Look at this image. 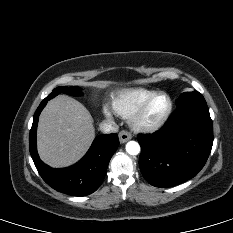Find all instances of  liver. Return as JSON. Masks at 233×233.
Masks as SVG:
<instances>
[{"label":"liver","mask_w":233,"mask_h":233,"mask_svg":"<svg viewBox=\"0 0 233 233\" xmlns=\"http://www.w3.org/2000/svg\"><path fill=\"white\" fill-rule=\"evenodd\" d=\"M95 137L93 118L77 100L59 95L39 117L37 149L41 160L54 168L77 162Z\"/></svg>","instance_id":"1"}]
</instances>
